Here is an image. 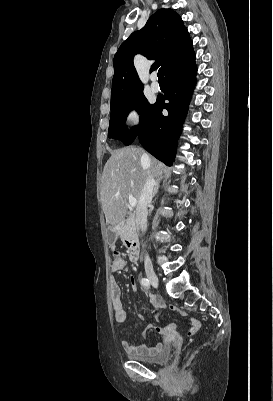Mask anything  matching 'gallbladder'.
<instances>
[{"label":"gallbladder","instance_id":"obj_1","mask_svg":"<svg viewBox=\"0 0 273 401\" xmlns=\"http://www.w3.org/2000/svg\"><path fill=\"white\" fill-rule=\"evenodd\" d=\"M116 231V230H115ZM107 236H108V245L109 246H114L115 245V237H116V235H115V233H113L111 230L107 233Z\"/></svg>","mask_w":273,"mask_h":401}]
</instances>
